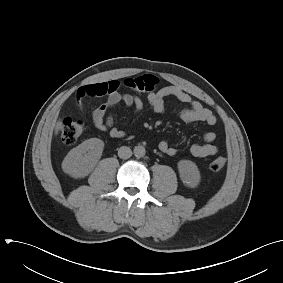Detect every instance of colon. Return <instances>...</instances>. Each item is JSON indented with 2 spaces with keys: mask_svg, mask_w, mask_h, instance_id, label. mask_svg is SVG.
Instances as JSON below:
<instances>
[{
  "mask_svg": "<svg viewBox=\"0 0 283 283\" xmlns=\"http://www.w3.org/2000/svg\"><path fill=\"white\" fill-rule=\"evenodd\" d=\"M158 84V79L152 75H143L136 78L125 79L123 85L136 92H151ZM85 123L82 120L66 118L61 128V138L66 145L74 144L83 134ZM226 164V159L217 157L210 163L213 171L222 169Z\"/></svg>",
  "mask_w": 283,
  "mask_h": 283,
  "instance_id": "1",
  "label": "colon"
}]
</instances>
